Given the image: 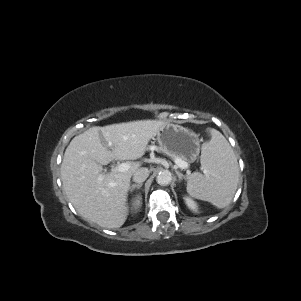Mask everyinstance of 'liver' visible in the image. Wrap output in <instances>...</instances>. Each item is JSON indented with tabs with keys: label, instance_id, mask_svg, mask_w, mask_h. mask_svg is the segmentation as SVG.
<instances>
[{
	"label": "liver",
	"instance_id": "6515ba94",
	"mask_svg": "<svg viewBox=\"0 0 301 301\" xmlns=\"http://www.w3.org/2000/svg\"><path fill=\"white\" fill-rule=\"evenodd\" d=\"M165 124L140 120L92 127L72 139L64 153L61 179L69 201L82 217L108 229L124 224L130 179L140 164L132 162L124 172L106 174L102 166L112 160L141 158L149 141ZM100 134L110 149L102 144Z\"/></svg>",
	"mask_w": 301,
	"mask_h": 301
}]
</instances>
